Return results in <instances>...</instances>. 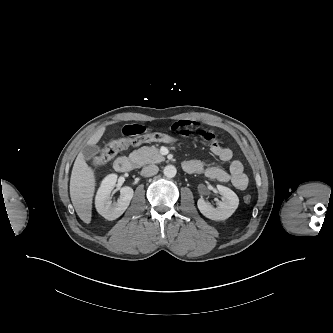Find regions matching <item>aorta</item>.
Segmentation results:
<instances>
[{"label":"aorta","instance_id":"obj_1","mask_svg":"<svg viewBox=\"0 0 333 333\" xmlns=\"http://www.w3.org/2000/svg\"><path fill=\"white\" fill-rule=\"evenodd\" d=\"M163 173L167 178H173V177H175L177 170H176L175 166L167 165V166H165Z\"/></svg>","mask_w":333,"mask_h":333}]
</instances>
